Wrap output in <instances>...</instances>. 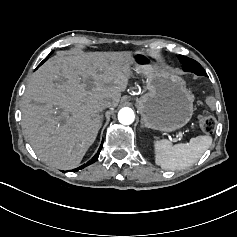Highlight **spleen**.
Returning a JSON list of instances; mask_svg holds the SVG:
<instances>
[{
  "label": "spleen",
  "instance_id": "spleen-1",
  "mask_svg": "<svg viewBox=\"0 0 237 237\" xmlns=\"http://www.w3.org/2000/svg\"><path fill=\"white\" fill-rule=\"evenodd\" d=\"M212 144V137L197 136L189 143L172 145L167 139L155 142V162L164 170H182L195 164Z\"/></svg>",
  "mask_w": 237,
  "mask_h": 237
}]
</instances>
